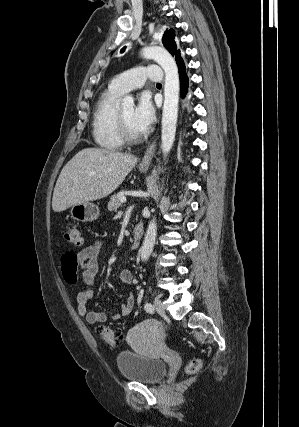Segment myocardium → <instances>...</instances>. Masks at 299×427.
Masks as SVG:
<instances>
[{"label": "myocardium", "instance_id": "obj_1", "mask_svg": "<svg viewBox=\"0 0 299 427\" xmlns=\"http://www.w3.org/2000/svg\"><path fill=\"white\" fill-rule=\"evenodd\" d=\"M117 118V125L119 129V133L123 139V141L126 142H137L141 138V134L133 133L129 127L127 126L122 113L120 111V108L117 109L116 113Z\"/></svg>", "mask_w": 299, "mask_h": 427}]
</instances>
